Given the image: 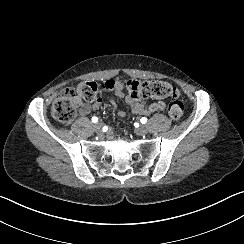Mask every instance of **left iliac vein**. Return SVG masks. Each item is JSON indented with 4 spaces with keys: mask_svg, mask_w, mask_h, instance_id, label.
I'll return each instance as SVG.
<instances>
[{
    "mask_svg": "<svg viewBox=\"0 0 244 244\" xmlns=\"http://www.w3.org/2000/svg\"><path fill=\"white\" fill-rule=\"evenodd\" d=\"M148 129L146 126H141L139 128L136 129V134L139 135V136H143L147 133Z\"/></svg>",
    "mask_w": 244,
    "mask_h": 244,
    "instance_id": "4c4485c4",
    "label": "left iliac vein"
}]
</instances>
